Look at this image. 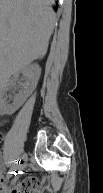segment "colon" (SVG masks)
<instances>
[{"instance_id": "5ec220e1", "label": "colon", "mask_w": 103, "mask_h": 193, "mask_svg": "<svg viewBox=\"0 0 103 193\" xmlns=\"http://www.w3.org/2000/svg\"><path fill=\"white\" fill-rule=\"evenodd\" d=\"M5 191H6V190H5ZM19 191H20L21 193H25L24 188H20ZM5 193H7V192H5Z\"/></svg>"}]
</instances>
